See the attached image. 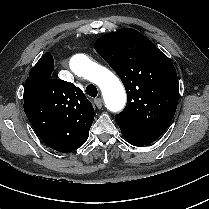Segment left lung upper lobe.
I'll return each instance as SVG.
<instances>
[{"instance_id":"5c2ea615","label":"left lung upper lobe","mask_w":209,"mask_h":209,"mask_svg":"<svg viewBox=\"0 0 209 209\" xmlns=\"http://www.w3.org/2000/svg\"><path fill=\"white\" fill-rule=\"evenodd\" d=\"M94 47L127 92L126 107L115 116L122 135L140 145L156 141L171 123L178 104L179 84L172 62L130 28L100 37Z\"/></svg>"}]
</instances>
